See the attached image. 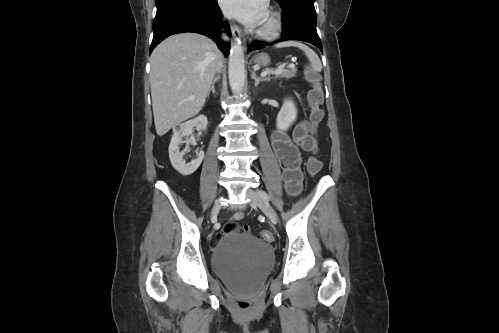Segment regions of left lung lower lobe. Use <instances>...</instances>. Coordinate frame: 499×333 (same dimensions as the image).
I'll list each match as a JSON object with an SVG mask.
<instances>
[{"instance_id": "left-lung-lower-lobe-1", "label": "left lung lower lobe", "mask_w": 499, "mask_h": 333, "mask_svg": "<svg viewBox=\"0 0 499 333\" xmlns=\"http://www.w3.org/2000/svg\"><path fill=\"white\" fill-rule=\"evenodd\" d=\"M315 0H287L280 4L283 9L282 19L284 21L283 36L272 43L254 41L249 51L259 50L266 45L286 40H300L311 43L322 51V43L316 31Z\"/></svg>"}]
</instances>
